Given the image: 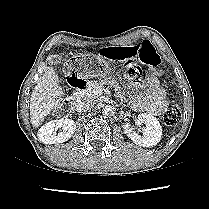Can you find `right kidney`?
<instances>
[{"instance_id": "right-kidney-1", "label": "right kidney", "mask_w": 209, "mask_h": 209, "mask_svg": "<svg viewBox=\"0 0 209 209\" xmlns=\"http://www.w3.org/2000/svg\"><path fill=\"white\" fill-rule=\"evenodd\" d=\"M60 129L57 133L56 131ZM76 124L70 119H60L47 122L38 130V139L44 144L66 142L74 134Z\"/></svg>"}]
</instances>
